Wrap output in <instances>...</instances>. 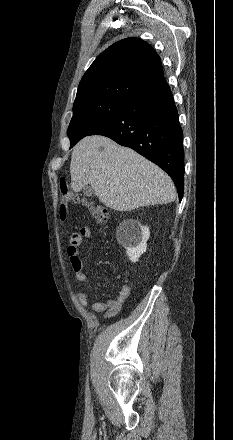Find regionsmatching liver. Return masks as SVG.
Returning <instances> with one entry per match:
<instances>
[{
	"label": "liver",
	"mask_w": 233,
	"mask_h": 440,
	"mask_svg": "<svg viewBox=\"0 0 233 440\" xmlns=\"http://www.w3.org/2000/svg\"><path fill=\"white\" fill-rule=\"evenodd\" d=\"M71 188L90 184L99 201L116 211L171 203L176 198L172 179L157 165L130 148L100 136H87L73 148Z\"/></svg>",
	"instance_id": "6515ba94"
}]
</instances>
